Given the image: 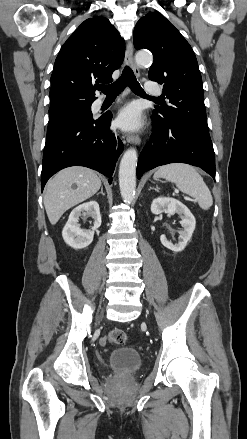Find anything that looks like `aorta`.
<instances>
[{"mask_svg": "<svg viewBox=\"0 0 247 439\" xmlns=\"http://www.w3.org/2000/svg\"><path fill=\"white\" fill-rule=\"evenodd\" d=\"M153 57L149 53L139 52L135 56L137 66L150 64ZM137 151L129 148L123 154L119 166L120 193L125 203L131 204L135 198Z\"/></svg>", "mask_w": 247, "mask_h": 439, "instance_id": "obj_1", "label": "aorta"}]
</instances>
